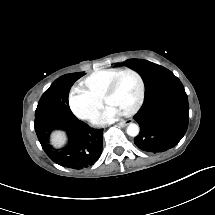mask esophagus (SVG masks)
Segmentation results:
<instances>
[{"instance_id": "34e87169", "label": "esophagus", "mask_w": 215, "mask_h": 215, "mask_svg": "<svg viewBox=\"0 0 215 215\" xmlns=\"http://www.w3.org/2000/svg\"><path fill=\"white\" fill-rule=\"evenodd\" d=\"M133 120L132 119H127L126 121H123L121 123H119L118 125L121 127L127 126L128 124L132 123Z\"/></svg>"}]
</instances>
